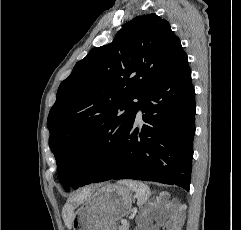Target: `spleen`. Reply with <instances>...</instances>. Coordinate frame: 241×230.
<instances>
[{"instance_id": "obj_1", "label": "spleen", "mask_w": 241, "mask_h": 230, "mask_svg": "<svg viewBox=\"0 0 241 230\" xmlns=\"http://www.w3.org/2000/svg\"><path fill=\"white\" fill-rule=\"evenodd\" d=\"M121 183L126 185L128 188L132 189L133 191H135L137 196L138 206L143 205L147 201L150 195V189L146 184L139 181H132V180H124Z\"/></svg>"}]
</instances>
